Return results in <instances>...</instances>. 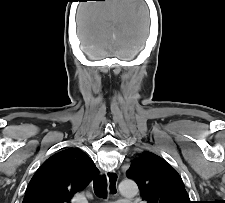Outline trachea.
<instances>
[{
    "instance_id": "1",
    "label": "trachea",
    "mask_w": 225,
    "mask_h": 203,
    "mask_svg": "<svg viewBox=\"0 0 225 203\" xmlns=\"http://www.w3.org/2000/svg\"><path fill=\"white\" fill-rule=\"evenodd\" d=\"M94 192L98 197H107V179L105 176L95 178L93 181Z\"/></svg>"
}]
</instances>
